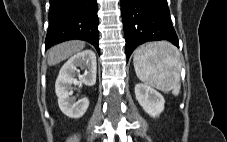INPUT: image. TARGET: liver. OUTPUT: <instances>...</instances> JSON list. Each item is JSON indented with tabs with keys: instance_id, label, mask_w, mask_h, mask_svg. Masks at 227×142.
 I'll return each instance as SVG.
<instances>
[{
	"instance_id": "obj_1",
	"label": "liver",
	"mask_w": 227,
	"mask_h": 142,
	"mask_svg": "<svg viewBox=\"0 0 227 142\" xmlns=\"http://www.w3.org/2000/svg\"><path fill=\"white\" fill-rule=\"evenodd\" d=\"M84 47L85 42L79 40H72L53 46L48 51V64L54 66L80 52Z\"/></svg>"
}]
</instances>
